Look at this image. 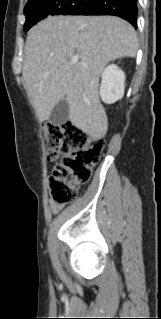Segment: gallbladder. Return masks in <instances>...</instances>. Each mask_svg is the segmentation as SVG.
Here are the masks:
<instances>
[{"label": "gallbladder", "mask_w": 161, "mask_h": 319, "mask_svg": "<svg viewBox=\"0 0 161 319\" xmlns=\"http://www.w3.org/2000/svg\"><path fill=\"white\" fill-rule=\"evenodd\" d=\"M69 119V105L66 99L59 101L51 111L49 121L53 125H61Z\"/></svg>", "instance_id": "obj_1"}]
</instances>
